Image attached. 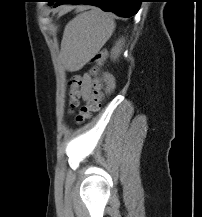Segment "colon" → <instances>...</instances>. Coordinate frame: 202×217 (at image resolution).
<instances>
[{"label":"colon","instance_id":"1","mask_svg":"<svg viewBox=\"0 0 202 217\" xmlns=\"http://www.w3.org/2000/svg\"><path fill=\"white\" fill-rule=\"evenodd\" d=\"M107 60V52L101 50L93 55L91 62L93 64L90 73L93 77L92 93L87 104L80 107L79 112L76 116L78 123H84L91 117L93 112L100 109L101 102L103 99L102 88L103 82L100 78V70ZM82 85L83 79L80 75H74L69 80V108L70 110L75 109L79 106L80 98L82 97Z\"/></svg>","mask_w":202,"mask_h":217}]
</instances>
